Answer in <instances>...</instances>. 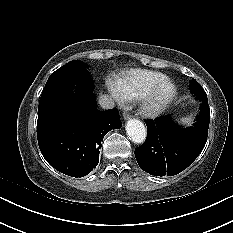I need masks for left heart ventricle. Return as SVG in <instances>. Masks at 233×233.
<instances>
[{"label": "left heart ventricle", "mask_w": 233, "mask_h": 233, "mask_svg": "<svg viewBox=\"0 0 233 233\" xmlns=\"http://www.w3.org/2000/svg\"><path fill=\"white\" fill-rule=\"evenodd\" d=\"M167 91H168V89H167V88H165V89L163 90V92H162V93L164 94V93H166Z\"/></svg>", "instance_id": "1"}]
</instances>
